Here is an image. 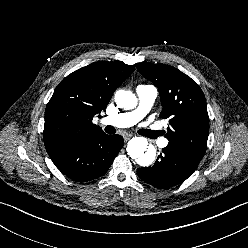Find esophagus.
<instances>
[{"label": "esophagus", "mask_w": 248, "mask_h": 248, "mask_svg": "<svg viewBox=\"0 0 248 248\" xmlns=\"http://www.w3.org/2000/svg\"><path fill=\"white\" fill-rule=\"evenodd\" d=\"M132 137V134L124 135V141H128Z\"/></svg>", "instance_id": "obj_1"}]
</instances>
